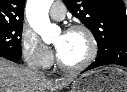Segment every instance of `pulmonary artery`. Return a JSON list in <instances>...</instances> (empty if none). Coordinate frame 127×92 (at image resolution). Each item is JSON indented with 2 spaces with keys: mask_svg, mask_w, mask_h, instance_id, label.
<instances>
[{
  "mask_svg": "<svg viewBox=\"0 0 127 92\" xmlns=\"http://www.w3.org/2000/svg\"><path fill=\"white\" fill-rule=\"evenodd\" d=\"M66 9L62 2L55 1L52 3L49 14L55 20H62L65 17Z\"/></svg>",
  "mask_w": 127,
  "mask_h": 92,
  "instance_id": "obj_1",
  "label": "pulmonary artery"
}]
</instances>
